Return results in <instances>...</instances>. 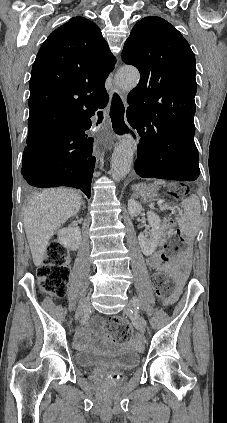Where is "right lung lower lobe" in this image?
<instances>
[{
	"label": "right lung lower lobe",
	"instance_id": "right-lung-lower-lobe-1",
	"mask_svg": "<svg viewBox=\"0 0 227 423\" xmlns=\"http://www.w3.org/2000/svg\"><path fill=\"white\" fill-rule=\"evenodd\" d=\"M105 106L78 103L30 108L29 120L65 118L71 124L50 138L25 147L21 173L28 184L39 188L74 187L90 198L95 156L93 138L85 131L91 127L90 117Z\"/></svg>",
	"mask_w": 227,
	"mask_h": 423
}]
</instances>
